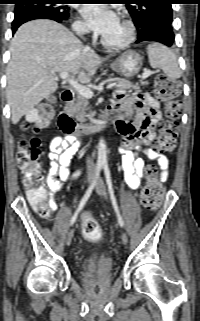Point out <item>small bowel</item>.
Wrapping results in <instances>:
<instances>
[{
  "mask_svg": "<svg viewBox=\"0 0 200 321\" xmlns=\"http://www.w3.org/2000/svg\"><path fill=\"white\" fill-rule=\"evenodd\" d=\"M110 110L117 114L115 126L123 138L122 168L128 186L134 190L140 187L145 173L144 158L156 162L160 178L165 181L169 161L151 146L155 128L162 118L159 103L147 93L135 92L129 96L124 91H118L114 94ZM79 146L78 138L72 134L57 136L50 143V167L43 180L45 197L52 212L57 209L58 193L72 179L71 161Z\"/></svg>",
  "mask_w": 200,
  "mask_h": 321,
  "instance_id": "c3829d8e",
  "label": "small bowel"
}]
</instances>
